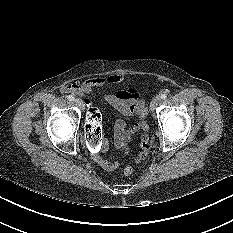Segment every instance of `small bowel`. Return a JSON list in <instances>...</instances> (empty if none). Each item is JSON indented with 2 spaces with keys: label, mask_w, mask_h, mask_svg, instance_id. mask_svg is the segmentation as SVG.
<instances>
[{
  "label": "small bowel",
  "mask_w": 233,
  "mask_h": 233,
  "mask_svg": "<svg viewBox=\"0 0 233 233\" xmlns=\"http://www.w3.org/2000/svg\"><path fill=\"white\" fill-rule=\"evenodd\" d=\"M123 77L121 75H109L101 77H93L85 80L82 84H68L63 88V92L72 93L82 96L85 99L88 107H92L87 96L94 88L116 85L121 83ZM104 99L113 106L123 117L137 116L138 121L128 126L126 121L121 118L115 123L114 129V145L117 149L128 152V142L134 132L140 127V122L146 115V108L143 101L140 99L138 91L134 88H125L117 90L114 93L106 94ZM102 148L96 154H93V159L104 171L111 172L118 168L117 161L108 160L102 156L108 149V142L102 138Z\"/></svg>",
  "instance_id": "c3829d8e"
}]
</instances>
